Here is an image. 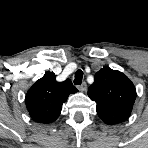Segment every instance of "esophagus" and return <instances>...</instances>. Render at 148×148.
<instances>
[{"label": "esophagus", "instance_id": "esophagus-1", "mask_svg": "<svg viewBox=\"0 0 148 148\" xmlns=\"http://www.w3.org/2000/svg\"><path fill=\"white\" fill-rule=\"evenodd\" d=\"M78 89H80L81 91H86L87 89V84L84 82L81 85L78 86Z\"/></svg>", "mask_w": 148, "mask_h": 148}]
</instances>
